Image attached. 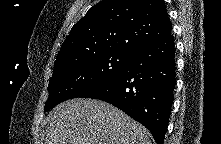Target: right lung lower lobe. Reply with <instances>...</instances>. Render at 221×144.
Returning <instances> with one entry per match:
<instances>
[{"mask_svg":"<svg viewBox=\"0 0 221 144\" xmlns=\"http://www.w3.org/2000/svg\"><path fill=\"white\" fill-rule=\"evenodd\" d=\"M175 43L170 32L135 52L112 78L82 94L108 102L148 128L162 144L175 89Z\"/></svg>","mask_w":221,"mask_h":144,"instance_id":"obj_1","label":"right lung lower lobe"}]
</instances>
